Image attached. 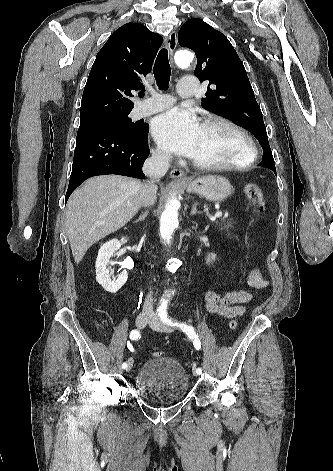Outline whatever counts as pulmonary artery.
<instances>
[{
	"instance_id": "pulmonary-artery-1",
	"label": "pulmonary artery",
	"mask_w": 333,
	"mask_h": 471,
	"mask_svg": "<svg viewBox=\"0 0 333 471\" xmlns=\"http://www.w3.org/2000/svg\"><path fill=\"white\" fill-rule=\"evenodd\" d=\"M198 83L192 76L183 77L178 84V93L181 97H190L197 92ZM174 99L166 95H154L142 102L137 108V114L141 117L162 111L172 105Z\"/></svg>"
}]
</instances>
